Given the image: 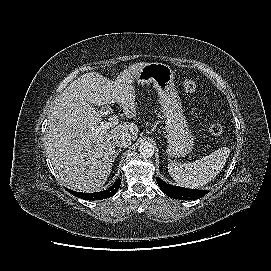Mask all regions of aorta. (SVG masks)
<instances>
[{"mask_svg":"<svg viewBox=\"0 0 271 271\" xmlns=\"http://www.w3.org/2000/svg\"><path fill=\"white\" fill-rule=\"evenodd\" d=\"M139 152L143 157H152L154 155V146L150 142H142L139 146Z\"/></svg>","mask_w":271,"mask_h":271,"instance_id":"1","label":"aorta"}]
</instances>
